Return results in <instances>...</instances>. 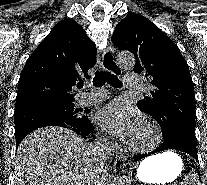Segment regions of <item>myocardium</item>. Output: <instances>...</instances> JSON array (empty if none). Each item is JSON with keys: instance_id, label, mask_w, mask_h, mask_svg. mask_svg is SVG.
Segmentation results:
<instances>
[{"instance_id": "myocardium-1", "label": "myocardium", "mask_w": 207, "mask_h": 185, "mask_svg": "<svg viewBox=\"0 0 207 185\" xmlns=\"http://www.w3.org/2000/svg\"><path fill=\"white\" fill-rule=\"evenodd\" d=\"M145 126L153 133V135L158 138L163 135V132L160 128V126L154 122H145ZM128 147L131 151L135 153H141L143 151V147L138 146L137 144L134 143L132 139L128 141Z\"/></svg>"}]
</instances>
